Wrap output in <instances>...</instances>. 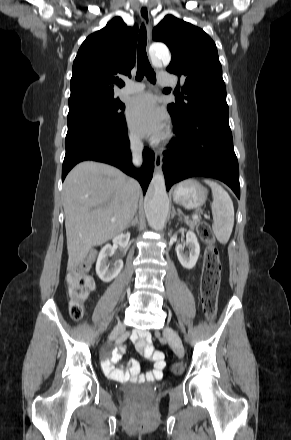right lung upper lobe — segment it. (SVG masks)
I'll return each instance as SVG.
<instances>
[{
	"label": "right lung upper lobe",
	"instance_id": "cb5924a9",
	"mask_svg": "<svg viewBox=\"0 0 291 440\" xmlns=\"http://www.w3.org/2000/svg\"><path fill=\"white\" fill-rule=\"evenodd\" d=\"M138 27L113 18L103 29L89 35L73 62L69 101L86 96L114 95L123 87L120 75L131 76L135 64Z\"/></svg>",
	"mask_w": 291,
	"mask_h": 440
}]
</instances>
